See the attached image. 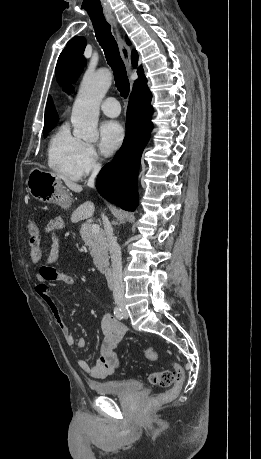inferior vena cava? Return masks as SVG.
<instances>
[{
    "label": "inferior vena cava",
    "instance_id": "inferior-vena-cava-1",
    "mask_svg": "<svg viewBox=\"0 0 261 459\" xmlns=\"http://www.w3.org/2000/svg\"><path fill=\"white\" fill-rule=\"evenodd\" d=\"M101 165L98 163H93L92 174L88 179V186L94 187V182ZM102 221L104 224V229L106 233L107 245L109 248L111 263H112V281H113V297L115 303L120 304L124 300V284L122 280V260H121V250L117 244L116 239L113 235L112 226L108 218L102 214Z\"/></svg>",
    "mask_w": 261,
    "mask_h": 459
}]
</instances>
